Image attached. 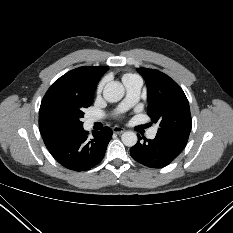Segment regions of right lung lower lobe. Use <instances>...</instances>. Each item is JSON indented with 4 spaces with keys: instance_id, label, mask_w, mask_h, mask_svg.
Returning a JSON list of instances; mask_svg holds the SVG:
<instances>
[{
    "instance_id": "98d812e1",
    "label": "right lung lower lobe",
    "mask_w": 233,
    "mask_h": 233,
    "mask_svg": "<svg viewBox=\"0 0 233 233\" xmlns=\"http://www.w3.org/2000/svg\"><path fill=\"white\" fill-rule=\"evenodd\" d=\"M111 138L112 130L109 127L95 131L92 139L82 127L56 139L46 147L65 168L86 171L103 159Z\"/></svg>"
}]
</instances>
